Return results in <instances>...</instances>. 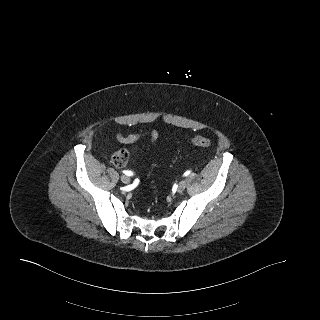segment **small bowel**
Returning <instances> with one entry per match:
<instances>
[{
    "label": "small bowel",
    "instance_id": "small-bowel-1",
    "mask_svg": "<svg viewBox=\"0 0 320 320\" xmlns=\"http://www.w3.org/2000/svg\"><path fill=\"white\" fill-rule=\"evenodd\" d=\"M145 136L149 137L150 140L154 142L158 139V132L156 130H147L144 132L132 133L128 135L123 133H117L116 139L118 142L122 144H133Z\"/></svg>",
    "mask_w": 320,
    "mask_h": 320
}]
</instances>
